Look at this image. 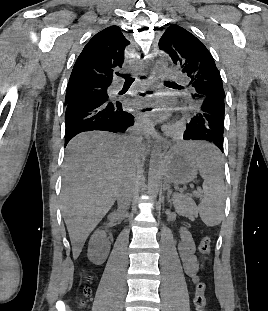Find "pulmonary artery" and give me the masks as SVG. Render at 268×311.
<instances>
[{
	"label": "pulmonary artery",
	"instance_id": "e3ab8cb5",
	"mask_svg": "<svg viewBox=\"0 0 268 311\" xmlns=\"http://www.w3.org/2000/svg\"><path fill=\"white\" fill-rule=\"evenodd\" d=\"M178 76H179V73L174 69H170L166 73V77H168V78H176Z\"/></svg>",
	"mask_w": 268,
	"mask_h": 311
}]
</instances>
